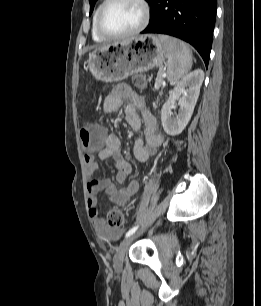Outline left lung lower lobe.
Here are the masks:
<instances>
[{
    "instance_id": "1",
    "label": "left lung lower lobe",
    "mask_w": 261,
    "mask_h": 306,
    "mask_svg": "<svg viewBox=\"0 0 261 306\" xmlns=\"http://www.w3.org/2000/svg\"><path fill=\"white\" fill-rule=\"evenodd\" d=\"M149 25L141 33L175 36L191 44L208 66L216 0H152Z\"/></svg>"
}]
</instances>
